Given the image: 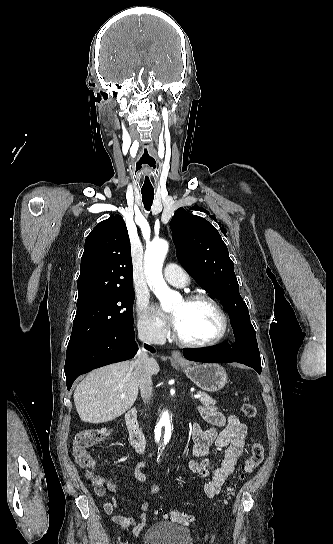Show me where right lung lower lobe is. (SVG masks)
I'll use <instances>...</instances> for the list:
<instances>
[{
  "label": "right lung lower lobe",
  "mask_w": 333,
  "mask_h": 544,
  "mask_svg": "<svg viewBox=\"0 0 333 544\" xmlns=\"http://www.w3.org/2000/svg\"><path fill=\"white\" fill-rule=\"evenodd\" d=\"M144 347L155 352L151 346L145 344ZM137 349L133 325H129L68 352L64 367L67 389L70 390L79 375L111 363L128 360L134 357Z\"/></svg>",
  "instance_id": "1"
}]
</instances>
